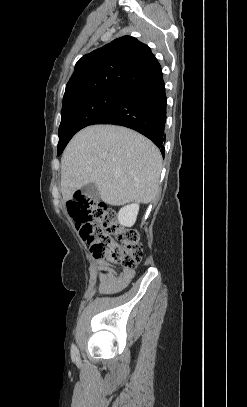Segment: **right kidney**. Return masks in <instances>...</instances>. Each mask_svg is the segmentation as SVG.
Segmentation results:
<instances>
[{
	"label": "right kidney",
	"instance_id": "obj_1",
	"mask_svg": "<svg viewBox=\"0 0 247 407\" xmlns=\"http://www.w3.org/2000/svg\"><path fill=\"white\" fill-rule=\"evenodd\" d=\"M139 212V204L133 203L120 209L117 218L121 225L131 227L134 225Z\"/></svg>",
	"mask_w": 247,
	"mask_h": 407
}]
</instances>
